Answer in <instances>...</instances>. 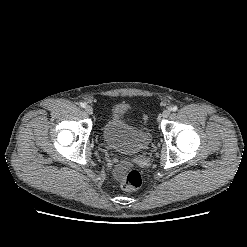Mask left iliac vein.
I'll return each mask as SVG.
<instances>
[{"label":"left iliac vein","mask_w":247,"mask_h":247,"mask_svg":"<svg viewBox=\"0 0 247 247\" xmlns=\"http://www.w3.org/2000/svg\"><path fill=\"white\" fill-rule=\"evenodd\" d=\"M170 114H171V110L170 109H166V110L163 111L162 117L163 118H167V117L170 116Z\"/></svg>","instance_id":"4c4485c4"}]
</instances>
